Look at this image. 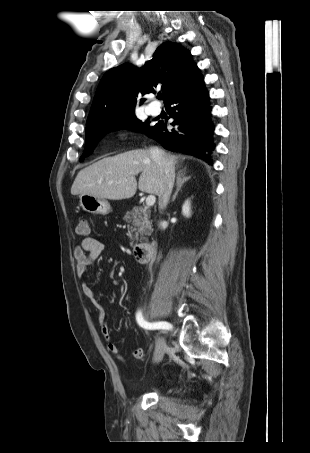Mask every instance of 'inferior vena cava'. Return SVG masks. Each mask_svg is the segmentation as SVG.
I'll return each mask as SVG.
<instances>
[{
  "label": "inferior vena cava",
  "instance_id": "602c4592",
  "mask_svg": "<svg viewBox=\"0 0 310 453\" xmlns=\"http://www.w3.org/2000/svg\"><path fill=\"white\" fill-rule=\"evenodd\" d=\"M153 161L162 171V183L159 192V209L164 210L169 202L175 179V170L172 161L164 151L157 147L150 148Z\"/></svg>",
  "mask_w": 310,
  "mask_h": 453
}]
</instances>
